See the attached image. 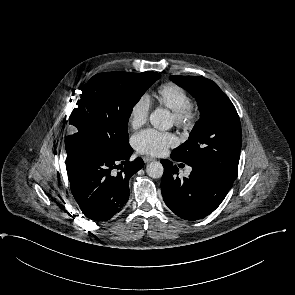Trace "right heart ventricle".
Masks as SVG:
<instances>
[{"label":"right heart ventricle","mask_w":295,"mask_h":295,"mask_svg":"<svg viewBox=\"0 0 295 295\" xmlns=\"http://www.w3.org/2000/svg\"><path fill=\"white\" fill-rule=\"evenodd\" d=\"M159 103L173 112L182 111L192 105L187 91L174 83H165L157 90Z\"/></svg>","instance_id":"e07e8e85"}]
</instances>
